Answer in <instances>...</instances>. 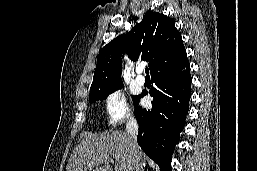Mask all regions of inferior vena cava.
Segmentation results:
<instances>
[{"instance_id": "inferior-vena-cava-1", "label": "inferior vena cava", "mask_w": 257, "mask_h": 171, "mask_svg": "<svg viewBox=\"0 0 257 171\" xmlns=\"http://www.w3.org/2000/svg\"><path fill=\"white\" fill-rule=\"evenodd\" d=\"M139 126L134 116H131L126 123V132L130 140L131 171H143L139 157V146L137 135Z\"/></svg>"}]
</instances>
